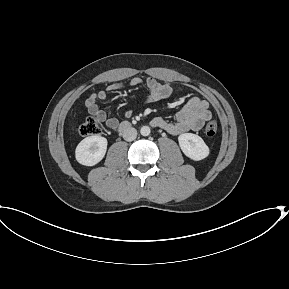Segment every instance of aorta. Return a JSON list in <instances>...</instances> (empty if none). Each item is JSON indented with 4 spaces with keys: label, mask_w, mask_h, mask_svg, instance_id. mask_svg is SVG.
<instances>
[{
    "label": "aorta",
    "mask_w": 289,
    "mask_h": 289,
    "mask_svg": "<svg viewBox=\"0 0 289 289\" xmlns=\"http://www.w3.org/2000/svg\"><path fill=\"white\" fill-rule=\"evenodd\" d=\"M140 133L142 136H148L150 134V128L148 126H142Z\"/></svg>",
    "instance_id": "obj_1"
}]
</instances>
